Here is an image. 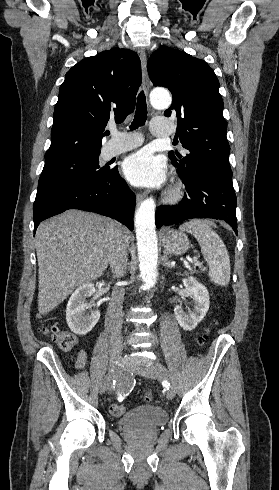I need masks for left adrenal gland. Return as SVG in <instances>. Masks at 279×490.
Returning <instances> with one entry per match:
<instances>
[{
  "mask_svg": "<svg viewBox=\"0 0 279 490\" xmlns=\"http://www.w3.org/2000/svg\"><path fill=\"white\" fill-rule=\"evenodd\" d=\"M162 264H163V266H167V268H172L171 262H169L168 256H166V254H164V256L162 258Z\"/></svg>",
  "mask_w": 279,
  "mask_h": 490,
  "instance_id": "obj_1",
  "label": "left adrenal gland"
}]
</instances>
